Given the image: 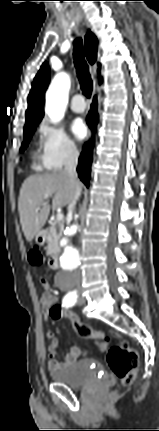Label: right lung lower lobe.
I'll return each mask as SVG.
<instances>
[{
	"instance_id": "right-lung-lower-lobe-1",
	"label": "right lung lower lobe",
	"mask_w": 159,
	"mask_h": 431,
	"mask_svg": "<svg viewBox=\"0 0 159 431\" xmlns=\"http://www.w3.org/2000/svg\"><path fill=\"white\" fill-rule=\"evenodd\" d=\"M98 121V114H97V97H94L93 104L91 106V110L87 117V123L90 126L92 130L96 128ZM94 141H90L86 144L84 147L80 158L79 163L77 167V172L82 180V182L88 187L89 186V179H90V169H91V162H92V148H93Z\"/></svg>"
}]
</instances>
